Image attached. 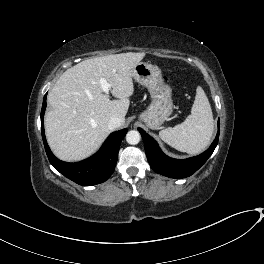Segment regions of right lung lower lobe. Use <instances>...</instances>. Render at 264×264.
<instances>
[{
  "label": "right lung lower lobe",
  "mask_w": 264,
  "mask_h": 264,
  "mask_svg": "<svg viewBox=\"0 0 264 264\" xmlns=\"http://www.w3.org/2000/svg\"><path fill=\"white\" fill-rule=\"evenodd\" d=\"M46 96L41 110V132L46 154L51 165L65 177L82 186H91L106 181L113 173L120 143L127 133V129L113 132L102 145L101 149L92 157L77 163H67L57 159L51 152L44 133V113Z\"/></svg>",
  "instance_id": "right-lung-lower-lobe-1"
}]
</instances>
